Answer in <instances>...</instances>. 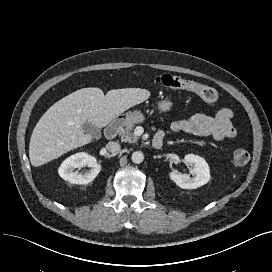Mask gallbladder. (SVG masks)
<instances>
[{
	"label": "gallbladder",
	"instance_id": "1",
	"mask_svg": "<svg viewBox=\"0 0 272 272\" xmlns=\"http://www.w3.org/2000/svg\"><path fill=\"white\" fill-rule=\"evenodd\" d=\"M82 127L86 133L91 134L94 137H99L101 135L100 130L89 121H86Z\"/></svg>",
	"mask_w": 272,
	"mask_h": 272
}]
</instances>
